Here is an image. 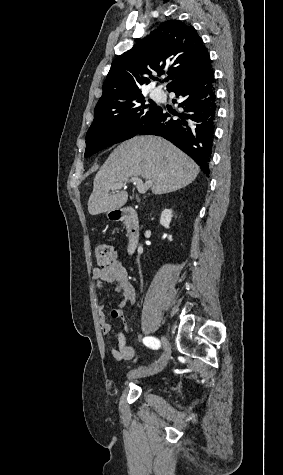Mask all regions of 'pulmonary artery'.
Segmentation results:
<instances>
[{"label":"pulmonary artery","mask_w":283,"mask_h":475,"mask_svg":"<svg viewBox=\"0 0 283 475\" xmlns=\"http://www.w3.org/2000/svg\"><path fill=\"white\" fill-rule=\"evenodd\" d=\"M153 94L154 95H159L160 94V89L159 88H154L153 89Z\"/></svg>","instance_id":"e3ab8cb5"}]
</instances>
